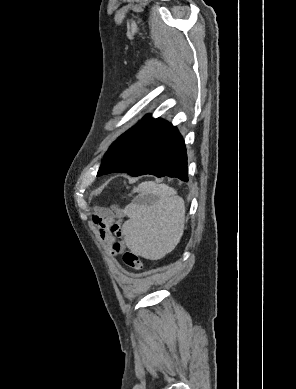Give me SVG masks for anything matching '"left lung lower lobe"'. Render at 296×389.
Segmentation results:
<instances>
[{"mask_svg":"<svg viewBox=\"0 0 296 389\" xmlns=\"http://www.w3.org/2000/svg\"><path fill=\"white\" fill-rule=\"evenodd\" d=\"M125 172L151 174L188 182L187 154L182 135L168 121L146 115L109 148L98 176Z\"/></svg>","mask_w":296,"mask_h":389,"instance_id":"1","label":"left lung lower lobe"}]
</instances>
